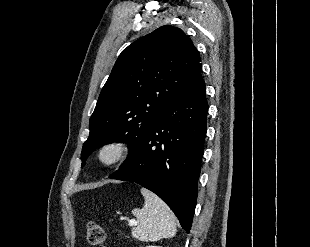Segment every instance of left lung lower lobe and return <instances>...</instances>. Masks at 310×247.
Listing matches in <instances>:
<instances>
[{"label":"left lung lower lobe","instance_id":"obj_1","mask_svg":"<svg viewBox=\"0 0 310 247\" xmlns=\"http://www.w3.org/2000/svg\"><path fill=\"white\" fill-rule=\"evenodd\" d=\"M208 103L200 74L152 125L138 151L111 179L131 181L157 194L189 233L197 199Z\"/></svg>","mask_w":310,"mask_h":247}]
</instances>
